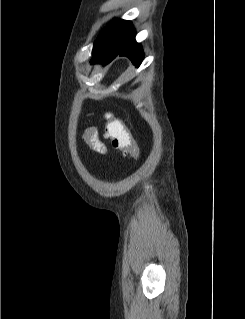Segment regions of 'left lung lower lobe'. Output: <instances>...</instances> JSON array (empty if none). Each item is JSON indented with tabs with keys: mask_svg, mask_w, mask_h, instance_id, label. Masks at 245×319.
<instances>
[{
	"mask_svg": "<svg viewBox=\"0 0 245 319\" xmlns=\"http://www.w3.org/2000/svg\"><path fill=\"white\" fill-rule=\"evenodd\" d=\"M92 62L107 64L117 55L127 56L134 65L139 66L143 60L144 53L139 43L135 41V30L130 22L116 45L111 49L96 50L93 49Z\"/></svg>",
	"mask_w": 245,
	"mask_h": 319,
	"instance_id": "1",
	"label": "left lung lower lobe"
}]
</instances>
